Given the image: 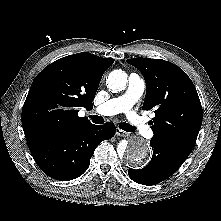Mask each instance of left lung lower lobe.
I'll use <instances>...</instances> for the list:
<instances>
[{
    "label": "left lung lower lobe",
    "mask_w": 221,
    "mask_h": 221,
    "mask_svg": "<svg viewBox=\"0 0 221 221\" xmlns=\"http://www.w3.org/2000/svg\"><path fill=\"white\" fill-rule=\"evenodd\" d=\"M153 149L149 164L138 170L129 168L130 178L139 184L155 185L174 174L189 156V152L163 140L151 139Z\"/></svg>",
    "instance_id": "0a47b994"
}]
</instances>
